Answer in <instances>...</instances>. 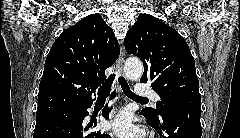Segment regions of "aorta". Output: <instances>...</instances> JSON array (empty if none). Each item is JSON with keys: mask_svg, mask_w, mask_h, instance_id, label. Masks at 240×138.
Wrapping results in <instances>:
<instances>
[{"mask_svg": "<svg viewBox=\"0 0 240 138\" xmlns=\"http://www.w3.org/2000/svg\"><path fill=\"white\" fill-rule=\"evenodd\" d=\"M124 72L128 79L138 80L143 74V64L137 58H129L125 62Z\"/></svg>", "mask_w": 240, "mask_h": 138, "instance_id": "1", "label": "aorta"}]
</instances>
